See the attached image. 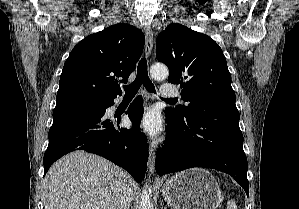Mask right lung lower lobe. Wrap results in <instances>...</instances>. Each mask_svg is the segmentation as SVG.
<instances>
[{
	"mask_svg": "<svg viewBox=\"0 0 299 209\" xmlns=\"http://www.w3.org/2000/svg\"><path fill=\"white\" fill-rule=\"evenodd\" d=\"M113 99L57 101L43 159L44 175L63 155L86 150L123 167L137 182L142 181L148 160L146 136L139 130L143 115L142 98L137 97L126 112L133 123L129 129L120 128L119 119L117 125L105 119L106 108L114 104Z\"/></svg>",
	"mask_w": 299,
	"mask_h": 209,
	"instance_id": "obj_1",
	"label": "right lung lower lobe"
}]
</instances>
